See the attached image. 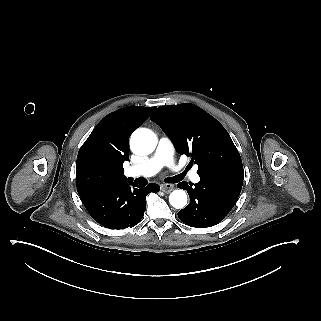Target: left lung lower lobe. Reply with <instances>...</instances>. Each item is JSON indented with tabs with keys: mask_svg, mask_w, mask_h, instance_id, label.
<instances>
[{
	"mask_svg": "<svg viewBox=\"0 0 321 321\" xmlns=\"http://www.w3.org/2000/svg\"><path fill=\"white\" fill-rule=\"evenodd\" d=\"M243 175V166L222 167L200 174L196 184L180 182L177 186L187 190L190 203L178 212L179 219L196 228L218 224L235 205Z\"/></svg>",
	"mask_w": 321,
	"mask_h": 321,
	"instance_id": "left-lung-lower-lobe-1",
	"label": "left lung lower lobe"
}]
</instances>
